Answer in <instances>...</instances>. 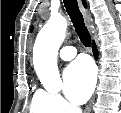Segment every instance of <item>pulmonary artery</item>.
I'll list each match as a JSON object with an SVG mask.
<instances>
[{"label":"pulmonary artery","instance_id":"e3ab8cb5","mask_svg":"<svg viewBox=\"0 0 121 113\" xmlns=\"http://www.w3.org/2000/svg\"><path fill=\"white\" fill-rule=\"evenodd\" d=\"M77 54V50L73 46H64L59 51V57L63 61L72 60Z\"/></svg>","mask_w":121,"mask_h":113}]
</instances>
